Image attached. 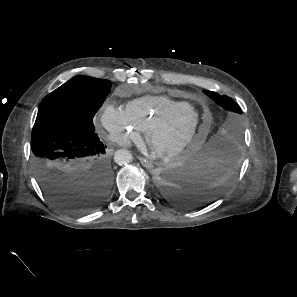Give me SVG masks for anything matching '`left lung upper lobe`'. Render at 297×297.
<instances>
[{
  "mask_svg": "<svg viewBox=\"0 0 297 297\" xmlns=\"http://www.w3.org/2000/svg\"><path fill=\"white\" fill-rule=\"evenodd\" d=\"M204 93L225 110L224 117L215 132L214 139L229 148L236 147L242 136L239 116V114H242V110L240 106L225 95L221 96L213 91H204Z\"/></svg>",
  "mask_w": 297,
  "mask_h": 297,
  "instance_id": "obj_1",
  "label": "left lung upper lobe"
}]
</instances>
